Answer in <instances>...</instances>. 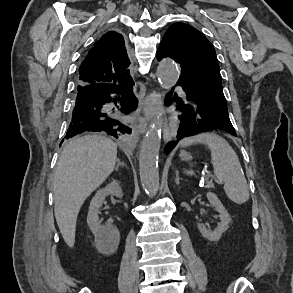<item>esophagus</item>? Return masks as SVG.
Segmentation results:
<instances>
[{"label": "esophagus", "instance_id": "esophagus-1", "mask_svg": "<svg viewBox=\"0 0 293 293\" xmlns=\"http://www.w3.org/2000/svg\"><path fill=\"white\" fill-rule=\"evenodd\" d=\"M160 104L159 95L156 92H152L148 94L144 100L140 102L138 108V124H137V131L140 134H143L146 131L147 125L152 117H154L157 108ZM163 127L164 132H168L167 120L163 118Z\"/></svg>", "mask_w": 293, "mask_h": 293}]
</instances>
